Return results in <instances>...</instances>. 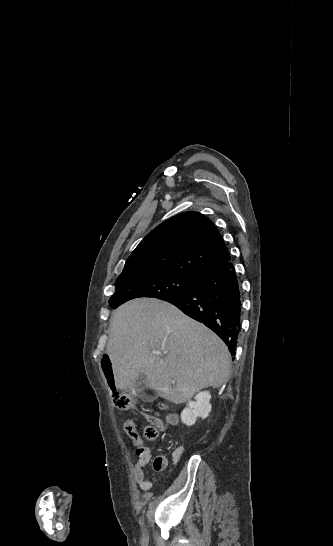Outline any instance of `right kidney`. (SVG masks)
I'll return each mask as SVG.
<instances>
[{
	"label": "right kidney",
	"instance_id": "ca27d5eb",
	"mask_svg": "<svg viewBox=\"0 0 333 546\" xmlns=\"http://www.w3.org/2000/svg\"><path fill=\"white\" fill-rule=\"evenodd\" d=\"M211 395L208 391L199 392L195 401H189L181 413V420L186 425H193L197 417L206 418L211 411L209 403Z\"/></svg>",
	"mask_w": 333,
	"mask_h": 546
}]
</instances>
